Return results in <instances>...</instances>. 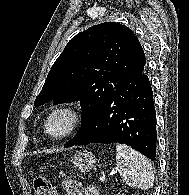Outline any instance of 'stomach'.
Returning <instances> with one entry per match:
<instances>
[{
  "label": "stomach",
  "instance_id": "stomach-1",
  "mask_svg": "<svg viewBox=\"0 0 189 195\" xmlns=\"http://www.w3.org/2000/svg\"><path fill=\"white\" fill-rule=\"evenodd\" d=\"M96 157L92 152L80 151L72 158L71 162L81 172H89L96 167Z\"/></svg>",
  "mask_w": 189,
  "mask_h": 195
}]
</instances>
